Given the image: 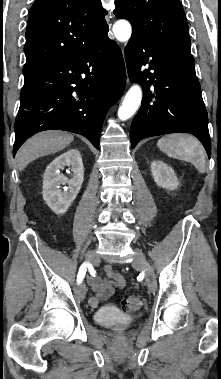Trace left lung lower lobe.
Returning <instances> with one entry per match:
<instances>
[{
	"instance_id": "left-lung-lower-lobe-1",
	"label": "left lung lower lobe",
	"mask_w": 221,
	"mask_h": 379,
	"mask_svg": "<svg viewBox=\"0 0 221 379\" xmlns=\"http://www.w3.org/2000/svg\"><path fill=\"white\" fill-rule=\"evenodd\" d=\"M125 59L130 80L139 82L144 91L130 128L131 147L147 137L185 132L196 136L210 157L208 116L194 59L136 33L125 48Z\"/></svg>"
}]
</instances>
